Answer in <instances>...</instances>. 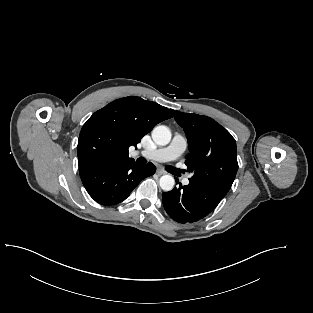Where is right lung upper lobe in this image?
Returning <instances> with one entry per match:
<instances>
[{
	"label": "right lung upper lobe",
	"instance_id": "cb5924a9",
	"mask_svg": "<svg viewBox=\"0 0 313 313\" xmlns=\"http://www.w3.org/2000/svg\"><path fill=\"white\" fill-rule=\"evenodd\" d=\"M170 110L137 96L117 99L96 111L83 125L78 140L79 171L97 165L134 161L128 148L161 121Z\"/></svg>",
	"mask_w": 313,
	"mask_h": 313
}]
</instances>
